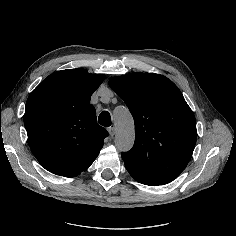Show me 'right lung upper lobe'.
Wrapping results in <instances>:
<instances>
[{"mask_svg": "<svg viewBox=\"0 0 236 236\" xmlns=\"http://www.w3.org/2000/svg\"><path fill=\"white\" fill-rule=\"evenodd\" d=\"M104 79L80 68L57 71L29 95L24 114L28 142L46 170L77 176L98 156L108 132L97 124L90 98Z\"/></svg>", "mask_w": 236, "mask_h": 236, "instance_id": "cb5924a9", "label": "right lung upper lobe"}]
</instances>
